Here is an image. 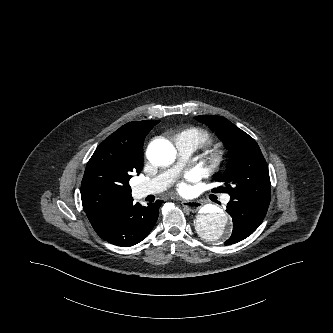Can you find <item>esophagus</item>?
Segmentation results:
<instances>
[{
  "instance_id": "1",
  "label": "esophagus",
  "mask_w": 333,
  "mask_h": 333,
  "mask_svg": "<svg viewBox=\"0 0 333 333\" xmlns=\"http://www.w3.org/2000/svg\"><path fill=\"white\" fill-rule=\"evenodd\" d=\"M181 204L186 208L188 209L190 212H197L201 206H202V203L199 202V201H186V200H183L181 202Z\"/></svg>"
}]
</instances>
